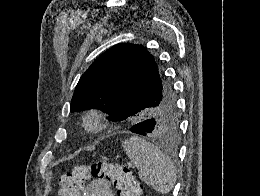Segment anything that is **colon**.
<instances>
[{
    "label": "colon",
    "instance_id": "5ec220e1",
    "mask_svg": "<svg viewBox=\"0 0 260 196\" xmlns=\"http://www.w3.org/2000/svg\"><path fill=\"white\" fill-rule=\"evenodd\" d=\"M108 181L118 192H132L136 187L131 170L124 164L94 161L76 166L58 179V196H81L86 184Z\"/></svg>",
    "mask_w": 260,
    "mask_h": 196
}]
</instances>
